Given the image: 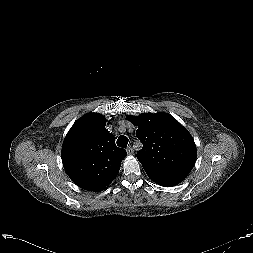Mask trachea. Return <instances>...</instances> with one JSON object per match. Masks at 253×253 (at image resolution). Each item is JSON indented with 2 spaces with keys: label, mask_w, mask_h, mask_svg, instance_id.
I'll list each match as a JSON object with an SVG mask.
<instances>
[{
  "label": "trachea",
  "mask_w": 253,
  "mask_h": 253,
  "mask_svg": "<svg viewBox=\"0 0 253 253\" xmlns=\"http://www.w3.org/2000/svg\"><path fill=\"white\" fill-rule=\"evenodd\" d=\"M128 144V138L126 136H120L118 139H117V145L121 148H126Z\"/></svg>",
  "instance_id": "obj_1"
}]
</instances>
